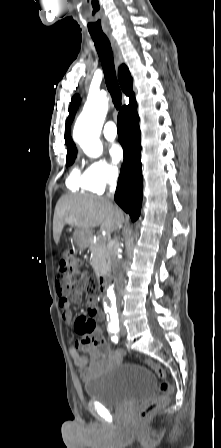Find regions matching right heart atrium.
<instances>
[{
    "label": "right heart atrium",
    "instance_id": "d8ad5b80",
    "mask_svg": "<svg viewBox=\"0 0 221 448\" xmlns=\"http://www.w3.org/2000/svg\"><path fill=\"white\" fill-rule=\"evenodd\" d=\"M83 179L87 190L101 193L107 187L117 183L119 171L115 165L105 159H94L88 163Z\"/></svg>",
    "mask_w": 221,
    "mask_h": 448
}]
</instances>
